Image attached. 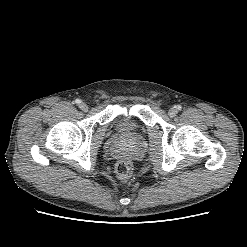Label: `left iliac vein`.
Returning a JSON list of instances; mask_svg holds the SVG:
<instances>
[{
  "label": "left iliac vein",
  "instance_id": "4c4485c4",
  "mask_svg": "<svg viewBox=\"0 0 247 247\" xmlns=\"http://www.w3.org/2000/svg\"><path fill=\"white\" fill-rule=\"evenodd\" d=\"M177 113H178V111H177V109L174 108V107L170 108L169 111H168V115H169L170 117L176 116Z\"/></svg>",
  "mask_w": 247,
  "mask_h": 247
}]
</instances>
